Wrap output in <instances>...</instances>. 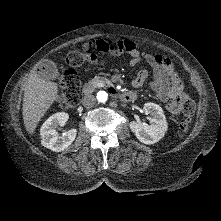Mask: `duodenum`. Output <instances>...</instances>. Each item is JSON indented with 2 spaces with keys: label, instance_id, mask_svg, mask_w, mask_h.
Masks as SVG:
<instances>
[{
  "label": "duodenum",
  "instance_id": "410a0bca",
  "mask_svg": "<svg viewBox=\"0 0 221 221\" xmlns=\"http://www.w3.org/2000/svg\"><path fill=\"white\" fill-rule=\"evenodd\" d=\"M92 90H93L92 85L90 84L85 85L83 89L84 96L89 95L92 92ZM109 91L110 93L116 94L119 97V99L123 102H131L136 99V95L131 92H124V93L117 94L113 88H109Z\"/></svg>",
  "mask_w": 221,
  "mask_h": 221
}]
</instances>
